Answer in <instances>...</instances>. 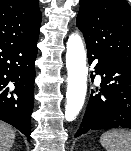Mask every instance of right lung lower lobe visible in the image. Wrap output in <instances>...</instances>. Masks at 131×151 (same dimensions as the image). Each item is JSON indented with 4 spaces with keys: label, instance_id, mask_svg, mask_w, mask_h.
Listing matches in <instances>:
<instances>
[{
    "label": "right lung lower lobe",
    "instance_id": "obj_1",
    "mask_svg": "<svg viewBox=\"0 0 131 151\" xmlns=\"http://www.w3.org/2000/svg\"><path fill=\"white\" fill-rule=\"evenodd\" d=\"M37 39L0 44V119L30 141Z\"/></svg>",
    "mask_w": 131,
    "mask_h": 151
}]
</instances>
